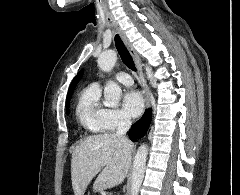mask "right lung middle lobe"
Listing matches in <instances>:
<instances>
[{
  "mask_svg": "<svg viewBox=\"0 0 240 195\" xmlns=\"http://www.w3.org/2000/svg\"><path fill=\"white\" fill-rule=\"evenodd\" d=\"M68 108H69V103L66 105V111L68 112Z\"/></svg>",
  "mask_w": 240,
  "mask_h": 195,
  "instance_id": "obj_1",
  "label": "right lung middle lobe"
}]
</instances>
